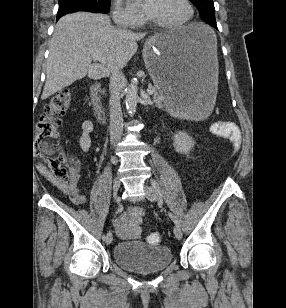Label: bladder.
Segmentation results:
<instances>
[{
	"instance_id": "bladder-1",
	"label": "bladder",
	"mask_w": 286,
	"mask_h": 308,
	"mask_svg": "<svg viewBox=\"0 0 286 308\" xmlns=\"http://www.w3.org/2000/svg\"><path fill=\"white\" fill-rule=\"evenodd\" d=\"M172 251L166 246H148L142 241H122L114 245L112 258L125 270L149 273L165 269L172 261Z\"/></svg>"
}]
</instances>
